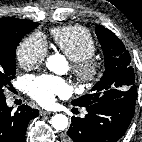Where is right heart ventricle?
<instances>
[{
	"instance_id": "obj_1",
	"label": "right heart ventricle",
	"mask_w": 142,
	"mask_h": 142,
	"mask_svg": "<svg viewBox=\"0 0 142 142\" xmlns=\"http://www.w3.org/2000/svg\"><path fill=\"white\" fill-rule=\"evenodd\" d=\"M55 46L71 61L93 56L97 46L91 33L82 26L68 25L51 30Z\"/></svg>"
}]
</instances>
